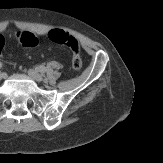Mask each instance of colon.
Wrapping results in <instances>:
<instances>
[{
	"instance_id": "1",
	"label": "colon",
	"mask_w": 163,
	"mask_h": 163,
	"mask_svg": "<svg viewBox=\"0 0 163 163\" xmlns=\"http://www.w3.org/2000/svg\"><path fill=\"white\" fill-rule=\"evenodd\" d=\"M48 39L53 43L67 47L71 52V66L75 70L82 67L80 55V46L78 41L68 32L62 29H53L48 33ZM19 43L25 48H33L38 45V38L31 32H22L18 34ZM5 45V39L0 36V55Z\"/></svg>"
}]
</instances>
